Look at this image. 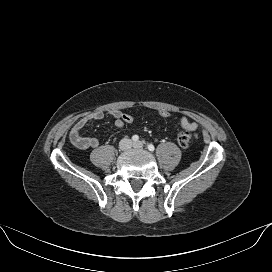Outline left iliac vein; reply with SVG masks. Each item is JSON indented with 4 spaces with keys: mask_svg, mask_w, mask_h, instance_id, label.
<instances>
[{
    "mask_svg": "<svg viewBox=\"0 0 272 272\" xmlns=\"http://www.w3.org/2000/svg\"><path fill=\"white\" fill-rule=\"evenodd\" d=\"M133 146H134L135 148L141 149V148L143 147V143L140 142V141H137V142H135V143L133 144Z\"/></svg>",
    "mask_w": 272,
    "mask_h": 272,
    "instance_id": "obj_1",
    "label": "left iliac vein"
}]
</instances>
